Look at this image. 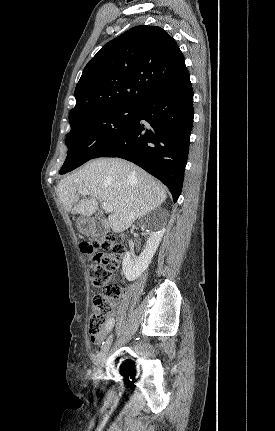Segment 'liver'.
<instances>
[{
	"mask_svg": "<svg viewBox=\"0 0 275 431\" xmlns=\"http://www.w3.org/2000/svg\"><path fill=\"white\" fill-rule=\"evenodd\" d=\"M90 191L92 198L81 199L80 191ZM57 192L63 208L72 214L89 217L98 202L113 206L106 228L120 233L147 212L166 200L165 187L135 164L119 158L95 159L77 172L62 179ZM74 205V207H73Z\"/></svg>",
	"mask_w": 275,
	"mask_h": 431,
	"instance_id": "6515ba94",
	"label": "liver"
}]
</instances>
